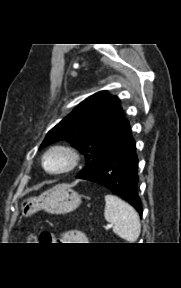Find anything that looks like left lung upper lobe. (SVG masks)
Wrapping results in <instances>:
<instances>
[{"mask_svg":"<svg viewBox=\"0 0 181 288\" xmlns=\"http://www.w3.org/2000/svg\"><path fill=\"white\" fill-rule=\"evenodd\" d=\"M127 123L118 97L100 91L85 99L52 128L40 149L67 139L85 155L86 165L77 175L80 178L92 172L120 141Z\"/></svg>","mask_w":181,"mask_h":288,"instance_id":"obj_1","label":"left lung upper lobe"}]
</instances>
